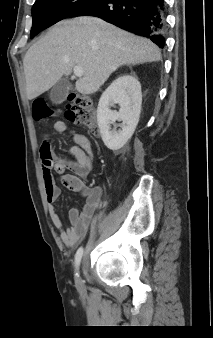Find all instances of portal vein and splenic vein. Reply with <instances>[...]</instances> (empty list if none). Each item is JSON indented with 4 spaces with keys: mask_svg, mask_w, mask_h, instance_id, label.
I'll list each match as a JSON object with an SVG mask.
<instances>
[{
    "mask_svg": "<svg viewBox=\"0 0 213 338\" xmlns=\"http://www.w3.org/2000/svg\"><path fill=\"white\" fill-rule=\"evenodd\" d=\"M73 73H74V75H76L78 77H82L84 75L83 69L79 66L74 67Z\"/></svg>",
    "mask_w": 213,
    "mask_h": 338,
    "instance_id": "portal-vein-and-splenic-vein-1",
    "label": "portal vein and splenic vein"
}]
</instances>
